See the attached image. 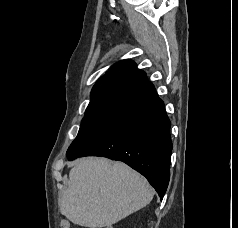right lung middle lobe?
Returning a JSON list of instances; mask_svg holds the SVG:
<instances>
[{
  "instance_id": "dd1d6c3e",
  "label": "right lung middle lobe",
  "mask_w": 238,
  "mask_h": 228,
  "mask_svg": "<svg viewBox=\"0 0 238 228\" xmlns=\"http://www.w3.org/2000/svg\"><path fill=\"white\" fill-rule=\"evenodd\" d=\"M121 115L85 113L77 137L67 150L70 154L88 142Z\"/></svg>"
}]
</instances>
